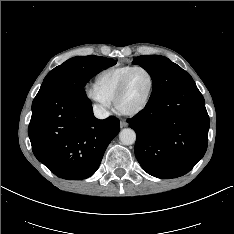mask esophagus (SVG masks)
<instances>
[{
    "label": "esophagus",
    "mask_w": 234,
    "mask_h": 234,
    "mask_svg": "<svg viewBox=\"0 0 234 234\" xmlns=\"http://www.w3.org/2000/svg\"><path fill=\"white\" fill-rule=\"evenodd\" d=\"M120 126L123 128V127H127L128 126V123L125 121V120H121L120 121Z\"/></svg>",
    "instance_id": "obj_1"
}]
</instances>
